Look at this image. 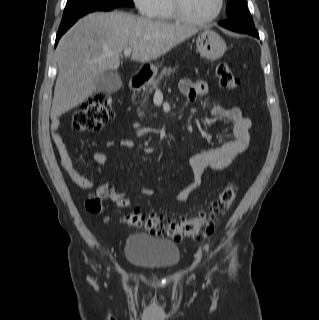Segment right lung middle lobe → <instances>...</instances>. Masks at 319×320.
<instances>
[{"label":"right lung middle lobe","mask_w":319,"mask_h":320,"mask_svg":"<svg viewBox=\"0 0 319 320\" xmlns=\"http://www.w3.org/2000/svg\"><path fill=\"white\" fill-rule=\"evenodd\" d=\"M119 6H134L132 0H67L59 28L65 27L87 13L108 11Z\"/></svg>","instance_id":"right-lung-middle-lobe-1"}]
</instances>
